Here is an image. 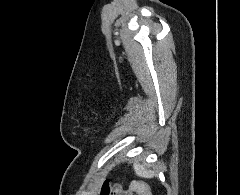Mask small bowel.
<instances>
[{
  "label": "small bowel",
  "instance_id": "obj_1",
  "mask_svg": "<svg viewBox=\"0 0 240 195\" xmlns=\"http://www.w3.org/2000/svg\"><path fill=\"white\" fill-rule=\"evenodd\" d=\"M122 195H152L148 186H129Z\"/></svg>",
  "mask_w": 240,
  "mask_h": 195
}]
</instances>
